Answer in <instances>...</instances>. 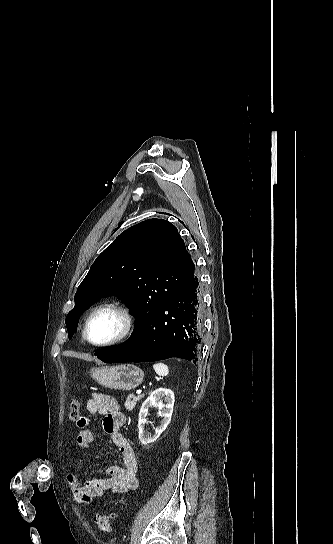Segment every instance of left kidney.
Masks as SVG:
<instances>
[{
    "label": "left kidney",
    "mask_w": 333,
    "mask_h": 544,
    "mask_svg": "<svg viewBox=\"0 0 333 544\" xmlns=\"http://www.w3.org/2000/svg\"><path fill=\"white\" fill-rule=\"evenodd\" d=\"M163 399L166 404H163ZM174 392L170 389L158 388L143 402L138 420L139 440L142 444L147 445L158 439L162 432L167 428L171 421L174 406ZM151 406L159 408V416L162 417L160 426L155 429L152 435L148 431H144V426L147 423L148 410ZM163 410V411H162Z\"/></svg>",
    "instance_id": "obj_1"
}]
</instances>
